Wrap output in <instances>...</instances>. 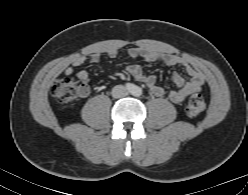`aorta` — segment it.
Returning a JSON list of instances; mask_svg holds the SVG:
<instances>
[{
	"mask_svg": "<svg viewBox=\"0 0 248 195\" xmlns=\"http://www.w3.org/2000/svg\"><path fill=\"white\" fill-rule=\"evenodd\" d=\"M142 94V89L140 87H137L135 92H134V95L135 96H140Z\"/></svg>",
	"mask_w": 248,
	"mask_h": 195,
	"instance_id": "aorta-1",
	"label": "aorta"
}]
</instances>
